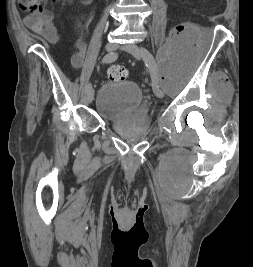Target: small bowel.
<instances>
[{
	"label": "small bowel",
	"instance_id": "small-bowel-1",
	"mask_svg": "<svg viewBox=\"0 0 253 267\" xmlns=\"http://www.w3.org/2000/svg\"><path fill=\"white\" fill-rule=\"evenodd\" d=\"M70 1V0H67ZM91 0H83L84 4L90 3ZM53 14L49 11L29 14L24 18V24L33 33L41 36L50 44H57L59 41L57 29L53 22ZM89 17L86 15L79 16L74 22V31L76 34V47L78 51L72 57L74 67H80L85 59L87 50L86 28L89 23Z\"/></svg>",
	"mask_w": 253,
	"mask_h": 267
}]
</instances>
